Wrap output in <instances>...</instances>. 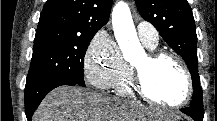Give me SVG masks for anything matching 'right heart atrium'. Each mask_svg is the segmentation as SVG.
Here are the masks:
<instances>
[{"mask_svg": "<svg viewBox=\"0 0 217 121\" xmlns=\"http://www.w3.org/2000/svg\"><path fill=\"white\" fill-rule=\"evenodd\" d=\"M125 65L114 39L106 32L96 34L84 56L88 82L98 89H109L121 77Z\"/></svg>", "mask_w": 217, "mask_h": 121, "instance_id": "obj_1", "label": "right heart atrium"}]
</instances>
